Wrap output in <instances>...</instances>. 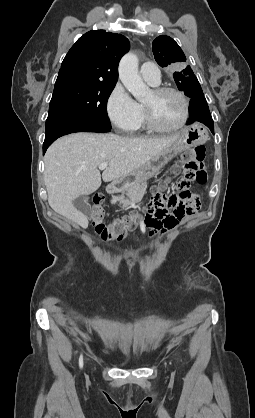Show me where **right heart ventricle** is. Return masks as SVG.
Listing matches in <instances>:
<instances>
[{"label": "right heart ventricle", "mask_w": 255, "mask_h": 418, "mask_svg": "<svg viewBox=\"0 0 255 418\" xmlns=\"http://www.w3.org/2000/svg\"><path fill=\"white\" fill-rule=\"evenodd\" d=\"M141 108H142L141 120H140V122H139V124H138V126H137L136 129H140V128H144L145 127L144 110H143V107L142 106H141Z\"/></svg>", "instance_id": "right-heart-ventricle-1"}]
</instances>
